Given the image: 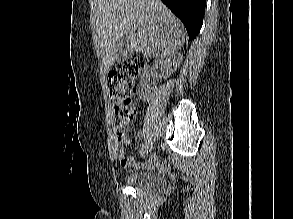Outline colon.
I'll use <instances>...</instances> for the list:
<instances>
[{"label":"colon","mask_w":293,"mask_h":219,"mask_svg":"<svg viewBox=\"0 0 293 219\" xmlns=\"http://www.w3.org/2000/svg\"><path fill=\"white\" fill-rule=\"evenodd\" d=\"M144 60L132 56L120 62L109 72L110 97L115 106L117 125L120 131L128 128L136 119L134 96L137 92L136 79L144 68Z\"/></svg>","instance_id":"obj_1"}]
</instances>
